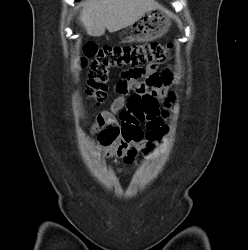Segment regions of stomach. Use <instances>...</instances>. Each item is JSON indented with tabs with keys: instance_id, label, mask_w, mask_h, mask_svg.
<instances>
[{
	"instance_id": "0dacf381",
	"label": "stomach",
	"mask_w": 248,
	"mask_h": 250,
	"mask_svg": "<svg viewBox=\"0 0 248 250\" xmlns=\"http://www.w3.org/2000/svg\"><path fill=\"white\" fill-rule=\"evenodd\" d=\"M170 26V19L165 10L151 9L130 25L132 40L137 42L153 41L164 35ZM136 32V33H135Z\"/></svg>"
}]
</instances>
